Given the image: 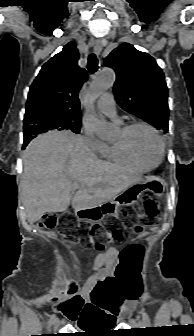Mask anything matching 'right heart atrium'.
Here are the masks:
<instances>
[{
  "mask_svg": "<svg viewBox=\"0 0 194 336\" xmlns=\"http://www.w3.org/2000/svg\"><path fill=\"white\" fill-rule=\"evenodd\" d=\"M82 137L86 146L94 151L99 152L102 148L103 141H101L96 135L87 127H84L82 130Z\"/></svg>",
  "mask_w": 194,
  "mask_h": 336,
  "instance_id": "right-heart-atrium-1",
  "label": "right heart atrium"
}]
</instances>
